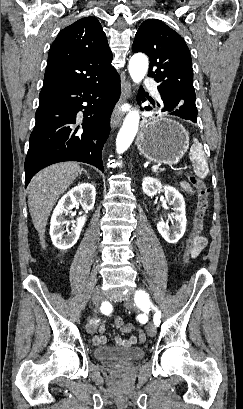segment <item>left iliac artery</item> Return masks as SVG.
Here are the masks:
<instances>
[{
  "mask_svg": "<svg viewBox=\"0 0 243 409\" xmlns=\"http://www.w3.org/2000/svg\"><path fill=\"white\" fill-rule=\"evenodd\" d=\"M144 295H146V294L143 293L142 291L136 292V301H137V303H141L140 301H141L143 298H145ZM149 305H150V303H149ZM151 308L155 311L154 319H153L154 324H155L156 326H159V324H160L161 312H160V311L158 310V308H157L156 306H154V305H152Z\"/></svg>",
  "mask_w": 243,
  "mask_h": 409,
  "instance_id": "1",
  "label": "left iliac artery"
}]
</instances>
